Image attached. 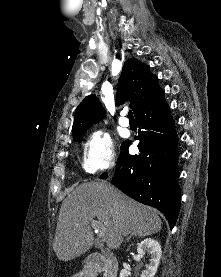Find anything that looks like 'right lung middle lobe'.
<instances>
[{
    "instance_id": "1",
    "label": "right lung middle lobe",
    "mask_w": 221,
    "mask_h": 277,
    "mask_svg": "<svg viewBox=\"0 0 221 277\" xmlns=\"http://www.w3.org/2000/svg\"><path fill=\"white\" fill-rule=\"evenodd\" d=\"M87 130L81 131L79 133H76L73 135V140L77 141V142H81L82 141V136L86 133Z\"/></svg>"
}]
</instances>
